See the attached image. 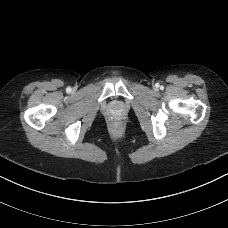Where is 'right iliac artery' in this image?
Instances as JSON below:
<instances>
[{"instance_id":"obj_1","label":"right iliac artery","mask_w":228,"mask_h":228,"mask_svg":"<svg viewBox=\"0 0 228 228\" xmlns=\"http://www.w3.org/2000/svg\"><path fill=\"white\" fill-rule=\"evenodd\" d=\"M66 91H67V92H71V88L68 87V88L66 89Z\"/></svg>"}]
</instances>
